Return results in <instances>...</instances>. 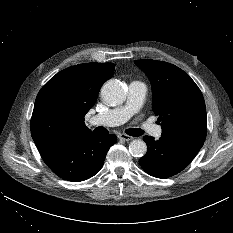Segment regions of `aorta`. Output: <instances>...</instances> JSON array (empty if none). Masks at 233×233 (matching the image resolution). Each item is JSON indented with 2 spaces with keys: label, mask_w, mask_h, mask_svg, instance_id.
<instances>
[{
  "label": "aorta",
  "mask_w": 233,
  "mask_h": 233,
  "mask_svg": "<svg viewBox=\"0 0 233 233\" xmlns=\"http://www.w3.org/2000/svg\"><path fill=\"white\" fill-rule=\"evenodd\" d=\"M102 99L111 106L122 104L126 99L124 85L118 80H109L101 88ZM129 152L134 157H142L147 152V145L141 139H135L129 144Z\"/></svg>",
  "instance_id": "aorta-1"
}]
</instances>
